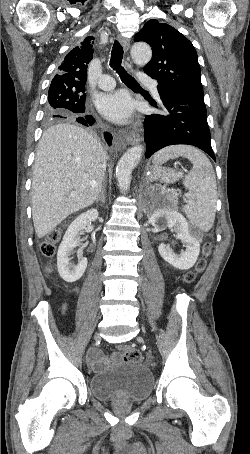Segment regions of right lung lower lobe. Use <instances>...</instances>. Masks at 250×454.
Here are the masks:
<instances>
[{"mask_svg": "<svg viewBox=\"0 0 250 454\" xmlns=\"http://www.w3.org/2000/svg\"><path fill=\"white\" fill-rule=\"evenodd\" d=\"M84 112H85V110L82 113H84ZM82 113L75 114L72 117H75L77 122H79V123H81V124H83L85 126L93 125L94 122H95V119L92 116H90V115L83 116ZM104 137H105L107 143L109 145H111V143H112V135L109 134V133H105Z\"/></svg>", "mask_w": 250, "mask_h": 454, "instance_id": "98d812e1", "label": "right lung lower lobe"}]
</instances>
